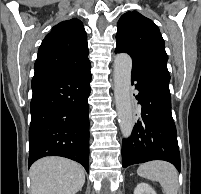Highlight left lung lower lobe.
Listing matches in <instances>:
<instances>
[{
  "instance_id": "obj_1",
  "label": "left lung lower lobe",
  "mask_w": 201,
  "mask_h": 194,
  "mask_svg": "<svg viewBox=\"0 0 201 194\" xmlns=\"http://www.w3.org/2000/svg\"><path fill=\"white\" fill-rule=\"evenodd\" d=\"M170 78L150 71L132 69L131 83L138 91L139 119L131 136L122 143V165L165 160L180 170L176 127L171 113Z\"/></svg>"
}]
</instances>
